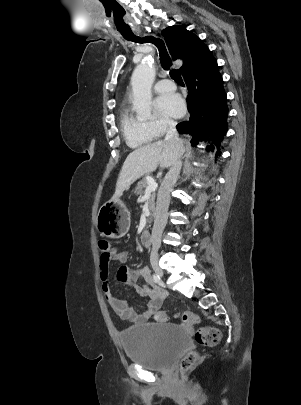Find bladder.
<instances>
[{
    "instance_id": "1",
    "label": "bladder",
    "mask_w": 301,
    "mask_h": 405,
    "mask_svg": "<svg viewBox=\"0 0 301 405\" xmlns=\"http://www.w3.org/2000/svg\"><path fill=\"white\" fill-rule=\"evenodd\" d=\"M120 341L131 362L153 371H168L188 346L186 329L169 323H145L123 330Z\"/></svg>"
}]
</instances>
